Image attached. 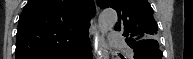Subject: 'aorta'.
I'll return each instance as SVG.
<instances>
[{"label": "aorta", "mask_w": 193, "mask_h": 59, "mask_svg": "<svg viewBox=\"0 0 193 59\" xmlns=\"http://www.w3.org/2000/svg\"><path fill=\"white\" fill-rule=\"evenodd\" d=\"M117 22V13L113 9H106L101 12L98 18V28L102 34L100 40L98 57L102 59H109L108 45L105 41V35L112 29Z\"/></svg>", "instance_id": "1"}]
</instances>
